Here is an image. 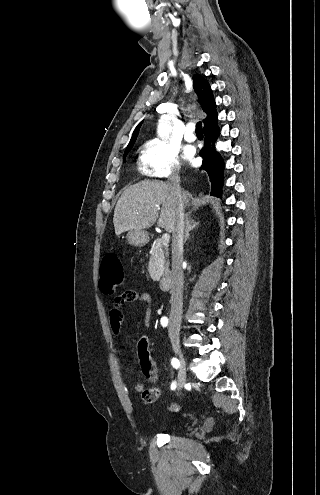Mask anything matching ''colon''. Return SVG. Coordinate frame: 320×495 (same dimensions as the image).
<instances>
[{
	"label": "colon",
	"mask_w": 320,
	"mask_h": 495,
	"mask_svg": "<svg viewBox=\"0 0 320 495\" xmlns=\"http://www.w3.org/2000/svg\"><path fill=\"white\" fill-rule=\"evenodd\" d=\"M100 288L107 293L115 291L124 281V272L119 257L114 253L106 254L100 264L99 268ZM138 354L141 363L147 368L151 366L149 354L147 351V344L145 340H141L138 344ZM142 400L145 403H154L159 397V390L156 388H147L142 391ZM169 410L172 412H178L180 407L173 403L169 406Z\"/></svg>",
	"instance_id": "colon-1"
}]
</instances>
